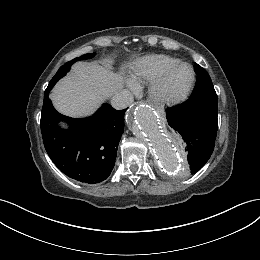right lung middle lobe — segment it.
I'll list each match as a JSON object with an SVG mask.
<instances>
[{"instance_id": "1", "label": "right lung middle lobe", "mask_w": 260, "mask_h": 260, "mask_svg": "<svg viewBox=\"0 0 260 260\" xmlns=\"http://www.w3.org/2000/svg\"><path fill=\"white\" fill-rule=\"evenodd\" d=\"M95 53H91V54H85V55H82L80 57H77L75 59H73L72 61L70 62H67L65 63L63 66L60 67V69L57 71V73L55 74V76L52 78V80L50 81L49 85L48 86H54L55 83L60 79L62 78L63 76L66 75V73L70 70V67L71 65L78 61V60H83V59H90L92 57H94Z\"/></svg>"}]
</instances>
